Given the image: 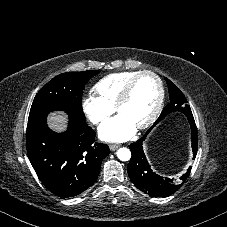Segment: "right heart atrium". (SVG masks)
I'll list each match as a JSON object with an SVG mask.
<instances>
[{"label": "right heart atrium", "instance_id": "obj_1", "mask_svg": "<svg viewBox=\"0 0 227 227\" xmlns=\"http://www.w3.org/2000/svg\"><path fill=\"white\" fill-rule=\"evenodd\" d=\"M82 110L93 124H99L109 117L114 109L98 96L88 94L83 98Z\"/></svg>", "mask_w": 227, "mask_h": 227}]
</instances>
